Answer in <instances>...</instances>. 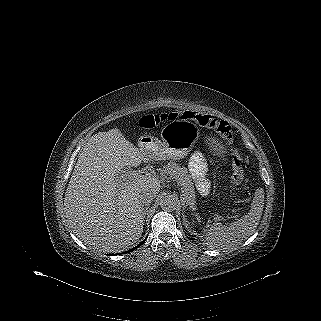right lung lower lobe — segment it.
<instances>
[{"mask_svg":"<svg viewBox=\"0 0 321 321\" xmlns=\"http://www.w3.org/2000/svg\"><path fill=\"white\" fill-rule=\"evenodd\" d=\"M145 242V240L144 241H142L139 245H137L136 247H134V248H132L131 250H129V251H127V252H130V251H132V250H134V249H136V248H138L140 245H142L143 243Z\"/></svg>","mask_w":321,"mask_h":321,"instance_id":"98d812e1","label":"right lung lower lobe"}]
</instances>
